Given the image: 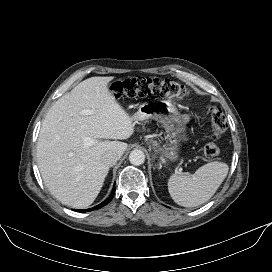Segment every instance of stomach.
Segmentation results:
<instances>
[{
	"label": "stomach",
	"instance_id": "stomach-1",
	"mask_svg": "<svg viewBox=\"0 0 272 272\" xmlns=\"http://www.w3.org/2000/svg\"><path fill=\"white\" fill-rule=\"evenodd\" d=\"M131 118L135 122L154 119L162 124L167 133L168 141L163 148L159 150L161 156L166 163H172L178 160L181 136L180 132L173 127V122L178 120V112L173 105L166 101L144 102Z\"/></svg>",
	"mask_w": 272,
	"mask_h": 272
}]
</instances>
